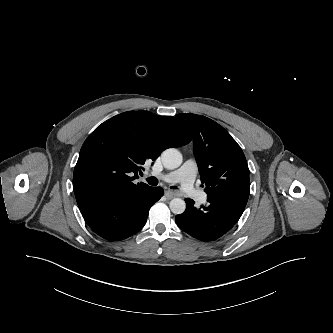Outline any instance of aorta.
I'll use <instances>...</instances> for the list:
<instances>
[{
    "instance_id": "1",
    "label": "aorta",
    "mask_w": 333,
    "mask_h": 333,
    "mask_svg": "<svg viewBox=\"0 0 333 333\" xmlns=\"http://www.w3.org/2000/svg\"><path fill=\"white\" fill-rule=\"evenodd\" d=\"M162 163L167 169L178 168L182 164V154L175 148H168L163 151ZM170 210L174 214H182L186 209V203L181 198H174L169 203Z\"/></svg>"
}]
</instances>
